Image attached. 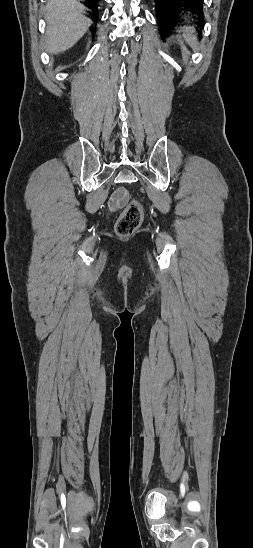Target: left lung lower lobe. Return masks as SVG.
I'll return each mask as SVG.
<instances>
[{
  "mask_svg": "<svg viewBox=\"0 0 253 548\" xmlns=\"http://www.w3.org/2000/svg\"><path fill=\"white\" fill-rule=\"evenodd\" d=\"M156 4V16L158 27L162 37L168 34L176 24V17L181 12H191L198 15L199 26H202L203 3L202 0H154Z\"/></svg>",
  "mask_w": 253,
  "mask_h": 548,
  "instance_id": "1",
  "label": "left lung lower lobe"
}]
</instances>
